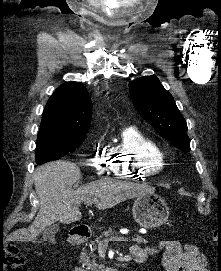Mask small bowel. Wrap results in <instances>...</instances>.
Returning a JSON list of instances; mask_svg holds the SVG:
<instances>
[{
  "mask_svg": "<svg viewBox=\"0 0 221 271\" xmlns=\"http://www.w3.org/2000/svg\"><path fill=\"white\" fill-rule=\"evenodd\" d=\"M164 251L165 271H207L206 259L198 247L177 240H162L154 246L131 245L129 252L136 257L153 255Z\"/></svg>",
  "mask_w": 221,
  "mask_h": 271,
  "instance_id": "small-bowel-1",
  "label": "small bowel"
}]
</instances>
